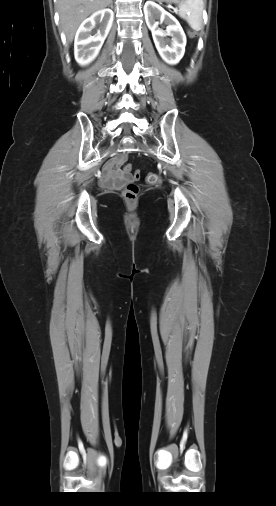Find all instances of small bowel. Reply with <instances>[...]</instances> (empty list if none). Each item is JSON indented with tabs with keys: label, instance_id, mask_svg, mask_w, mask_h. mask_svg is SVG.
<instances>
[{
	"label": "small bowel",
	"instance_id": "c3829d8e",
	"mask_svg": "<svg viewBox=\"0 0 276 506\" xmlns=\"http://www.w3.org/2000/svg\"><path fill=\"white\" fill-rule=\"evenodd\" d=\"M123 158V156H119L105 166L101 179L103 187H117L121 183L130 180L128 173L116 169V166L121 165Z\"/></svg>",
	"mask_w": 276,
	"mask_h": 506
}]
</instances>
